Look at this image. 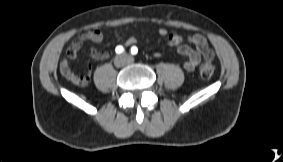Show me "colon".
Listing matches in <instances>:
<instances>
[{"label":"colon","mask_w":283,"mask_h":162,"mask_svg":"<svg viewBox=\"0 0 283 162\" xmlns=\"http://www.w3.org/2000/svg\"><path fill=\"white\" fill-rule=\"evenodd\" d=\"M216 70V64L213 58H207L199 67V73L202 78L210 79ZM62 75L68 80L78 85H86L90 80V74L85 72L83 74H75L71 70H60Z\"/></svg>","instance_id":"5ec220e1"}]
</instances>
